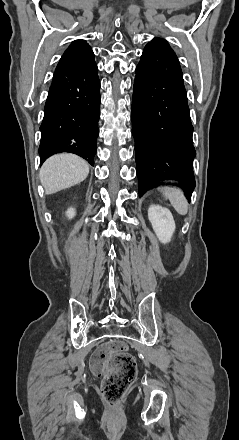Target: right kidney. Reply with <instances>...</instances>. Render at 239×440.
Here are the masks:
<instances>
[{
  "instance_id": "obj_1",
  "label": "right kidney",
  "mask_w": 239,
  "mask_h": 440,
  "mask_svg": "<svg viewBox=\"0 0 239 440\" xmlns=\"http://www.w3.org/2000/svg\"><path fill=\"white\" fill-rule=\"evenodd\" d=\"M76 212L74 210V208H69V210H67L66 212V216L67 218H69V220H72V218H74Z\"/></svg>"
}]
</instances>
